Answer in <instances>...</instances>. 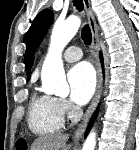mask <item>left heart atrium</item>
I'll return each mask as SVG.
<instances>
[{"label": "left heart atrium", "instance_id": "left-heart-atrium-1", "mask_svg": "<svg viewBox=\"0 0 139 150\" xmlns=\"http://www.w3.org/2000/svg\"><path fill=\"white\" fill-rule=\"evenodd\" d=\"M67 78L70 99L79 105L86 104L96 88V74L92 66L86 62L79 63L69 71Z\"/></svg>", "mask_w": 139, "mask_h": 150}]
</instances>
